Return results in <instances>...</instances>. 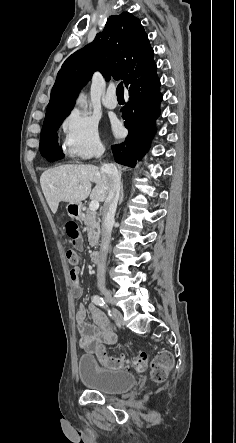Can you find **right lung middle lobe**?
Here are the masks:
<instances>
[{
	"instance_id": "obj_1",
	"label": "right lung middle lobe",
	"mask_w": 236,
	"mask_h": 443,
	"mask_svg": "<svg viewBox=\"0 0 236 443\" xmlns=\"http://www.w3.org/2000/svg\"><path fill=\"white\" fill-rule=\"evenodd\" d=\"M69 112H64L44 120L41 137L40 152L58 146L57 130Z\"/></svg>"
}]
</instances>
